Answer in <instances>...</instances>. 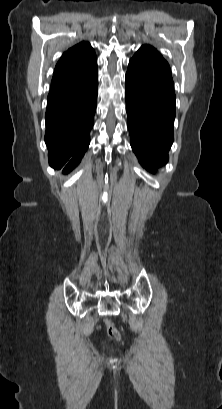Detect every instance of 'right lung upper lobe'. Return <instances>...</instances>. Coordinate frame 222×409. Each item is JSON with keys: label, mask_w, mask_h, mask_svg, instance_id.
Returning <instances> with one entry per match:
<instances>
[{"label": "right lung upper lobe", "mask_w": 222, "mask_h": 409, "mask_svg": "<svg viewBox=\"0 0 222 409\" xmlns=\"http://www.w3.org/2000/svg\"><path fill=\"white\" fill-rule=\"evenodd\" d=\"M97 70V57L88 42H80L66 51L58 61L49 95L59 96L79 90L83 81L80 75ZM75 76V77H74Z\"/></svg>", "instance_id": "cb5924a9"}]
</instances>
